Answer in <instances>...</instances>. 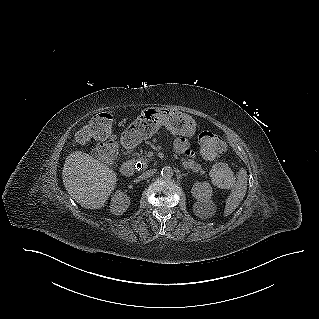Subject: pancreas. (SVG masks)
I'll return each mask as SVG.
<instances>
[{
  "label": "pancreas",
  "instance_id": "pancreas-1",
  "mask_svg": "<svg viewBox=\"0 0 319 319\" xmlns=\"http://www.w3.org/2000/svg\"><path fill=\"white\" fill-rule=\"evenodd\" d=\"M137 162L141 163L143 165V168H147L148 164L150 163V158L147 156H141L136 159ZM182 166L185 169H190L193 172H199L201 174H204L205 171L201 168V165L196 163L194 160L188 159L186 160L185 158L181 159Z\"/></svg>",
  "mask_w": 319,
  "mask_h": 319
}]
</instances>
